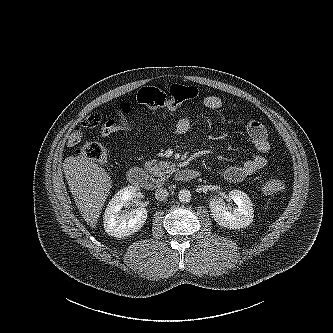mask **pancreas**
Masks as SVG:
<instances>
[{
    "label": "pancreas",
    "mask_w": 333,
    "mask_h": 333,
    "mask_svg": "<svg viewBox=\"0 0 333 333\" xmlns=\"http://www.w3.org/2000/svg\"><path fill=\"white\" fill-rule=\"evenodd\" d=\"M145 169L155 175L156 177H170V175L175 171L174 165L170 164L169 162L160 161L157 162L156 160H151L145 163Z\"/></svg>",
    "instance_id": "cf45deb5"
}]
</instances>
